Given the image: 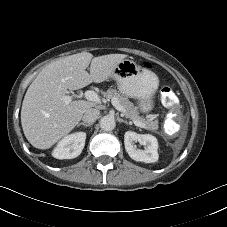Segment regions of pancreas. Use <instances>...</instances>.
Here are the masks:
<instances>
[{
  "label": "pancreas",
  "instance_id": "cf45deb5",
  "mask_svg": "<svg viewBox=\"0 0 227 227\" xmlns=\"http://www.w3.org/2000/svg\"><path fill=\"white\" fill-rule=\"evenodd\" d=\"M106 99H116L119 104L124 108L125 112L123 115L127 118L137 119L144 124V128L152 131H156L158 129V120L156 119V115H150L148 118H143L138 115V109L129 101V99L123 95H121L115 89H108L105 93Z\"/></svg>",
  "mask_w": 227,
  "mask_h": 227
}]
</instances>
